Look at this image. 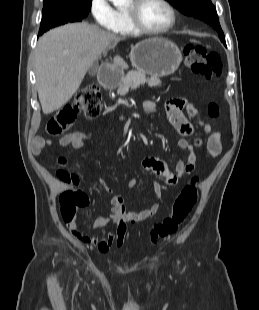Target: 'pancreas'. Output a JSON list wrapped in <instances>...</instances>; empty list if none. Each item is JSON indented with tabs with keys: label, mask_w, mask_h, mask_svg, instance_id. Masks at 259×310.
<instances>
[{
	"label": "pancreas",
	"mask_w": 259,
	"mask_h": 310,
	"mask_svg": "<svg viewBox=\"0 0 259 310\" xmlns=\"http://www.w3.org/2000/svg\"><path fill=\"white\" fill-rule=\"evenodd\" d=\"M145 83H147L149 87H155L159 86L161 81L157 77L146 78L144 73L131 71L120 80L117 94L125 96L130 90L136 89Z\"/></svg>",
	"instance_id": "1"
}]
</instances>
